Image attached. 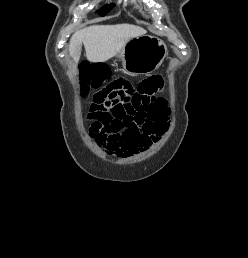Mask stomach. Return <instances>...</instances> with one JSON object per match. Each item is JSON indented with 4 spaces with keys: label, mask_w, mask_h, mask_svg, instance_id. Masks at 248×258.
Returning a JSON list of instances; mask_svg holds the SVG:
<instances>
[{
    "label": "stomach",
    "mask_w": 248,
    "mask_h": 258,
    "mask_svg": "<svg viewBox=\"0 0 248 258\" xmlns=\"http://www.w3.org/2000/svg\"><path fill=\"white\" fill-rule=\"evenodd\" d=\"M167 47L162 40L151 35L130 39L118 54L123 69L132 75L155 71L162 64Z\"/></svg>",
    "instance_id": "0dacf381"
}]
</instances>
